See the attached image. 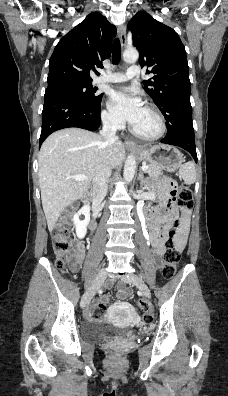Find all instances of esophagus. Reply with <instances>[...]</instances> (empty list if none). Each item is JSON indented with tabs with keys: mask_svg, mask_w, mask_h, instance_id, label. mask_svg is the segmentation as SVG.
Segmentation results:
<instances>
[{
	"mask_svg": "<svg viewBox=\"0 0 228 396\" xmlns=\"http://www.w3.org/2000/svg\"><path fill=\"white\" fill-rule=\"evenodd\" d=\"M118 36L121 42V45L124 47L126 45V28L124 25H119L117 27ZM127 147L136 148L137 144L133 141L127 140L124 142Z\"/></svg>",
	"mask_w": 228,
	"mask_h": 396,
	"instance_id": "1",
	"label": "esophagus"
}]
</instances>
